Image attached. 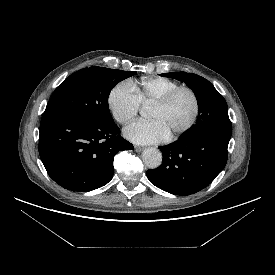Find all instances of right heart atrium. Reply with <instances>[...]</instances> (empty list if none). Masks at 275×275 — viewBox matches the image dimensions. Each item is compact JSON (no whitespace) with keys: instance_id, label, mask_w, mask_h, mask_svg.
I'll use <instances>...</instances> for the list:
<instances>
[{"instance_id":"right-heart-atrium-1","label":"right heart atrium","mask_w":275,"mask_h":275,"mask_svg":"<svg viewBox=\"0 0 275 275\" xmlns=\"http://www.w3.org/2000/svg\"><path fill=\"white\" fill-rule=\"evenodd\" d=\"M108 106L113 118L124 125L138 114L141 102L131 80L117 83L109 92Z\"/></svg>"}]
</instances>
